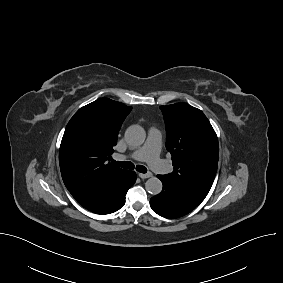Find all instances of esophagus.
Masks as SVG:
<instances>
[{"instance_id": "esophagus-1", "label": "esophagus", "mask_w": 283, "mask_h": 283, "mask_svg": "<svg viewBox=\"0 0 283 283\" xmlns=\"http://www.w3.org/2000/svg\"><path fill=\"white\" fill-rule=\"evenodd\" d=\"M139 177L142 179H147L152 177V173H139Z\"/></svg>"}]
</instances>
